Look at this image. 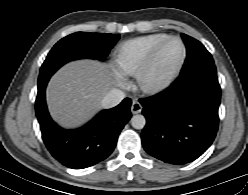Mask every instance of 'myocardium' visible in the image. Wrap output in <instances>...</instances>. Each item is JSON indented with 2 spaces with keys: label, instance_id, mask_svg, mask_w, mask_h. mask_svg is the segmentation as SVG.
Masks as SVG:
<instances>
[{
  "label": "myocardium",
  "instance_id": "myocardium-1",
  "mask_svg": "<svg viewBox=\"0 0 248 195\" xmlns=\"http://www.w3.org/2000/svg\"><path fill=\"white\" fill-rule=\"evenodd\" d=\"M178 41L182 46V55L177 66L166 76L155 80L154 73L156 71L158 61L164 48L171 42ZM187 57V48L183 40L177 36H169L162 41L151 54L146 65L136 74L137 87L145 94H156L168 88L179 76L185 64Z\"/></svg>",
  "mask_w": 248,
  "mask_h": 195
}]
</instances>
